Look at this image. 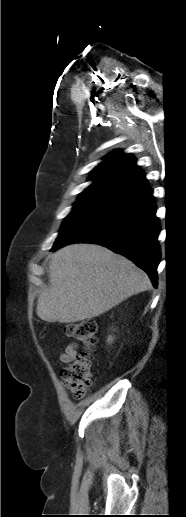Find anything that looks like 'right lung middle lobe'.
<instances>
[{
	"instance_id": "1",
	"label": "right lung middle lobe",
	"mask_w": 186,
	"mask_h": 517,
	"mask_svg": "<svg viewBox=\"0 0 186 517\" xmlns=\"http://www.w3.org/2000/svg\"><path fill=\"white\" fill-rule=\"evenodd\" d=\"M115 203L111 200L78 198L73 211L63 221L61 231L54 245L66 240L74 232L105 212Z\"/></svg>"
}]
</instances>
